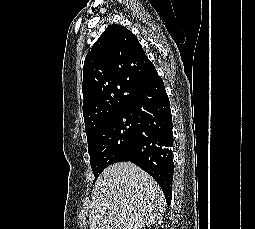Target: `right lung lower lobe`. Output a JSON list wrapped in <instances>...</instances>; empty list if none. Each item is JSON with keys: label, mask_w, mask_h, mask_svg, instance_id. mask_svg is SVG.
I'll return each mask as SVG.
<instances>
[{"label": "right lung lower lobe", "mask_w": 255, "mask_h": 229, "mask_svg": "<svg viewBox=\"0 0 255 229\" xmlns=\"http://www.w3.org/2000/svg\"><path fill=\"white\" fill-rule=\"evenodd\" d=\"M124 110L137 121L127 161L155 179L169 206L174 174L172 115L163 80L157 71L143 80L138 93Z\"/></svg>", "instance_id": "98d812e1"}]
</instances>
